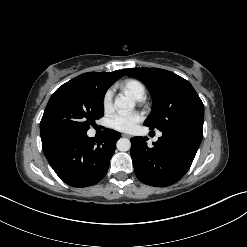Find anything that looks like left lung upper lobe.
<instances>
[{
    "label": "left lung upper lobe",
    "instance_id": "1",
    "mask_svg": "<svg viewBox=\"0 0 247 247\" xmlns=\"http://www.w3.org/2000/svg\"><path fill=\"white\" fill-rule=\"evenodd\" d=\"M124 73L142 81L151 92L152 112L144 121L146 126L161 132L183 130L202 139L204 105L187 80L159 68H131Z\"/></svg>",
    "mask_w": 247,
    "mask_h": 247
}]
</instances>
